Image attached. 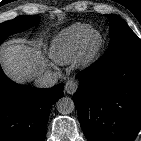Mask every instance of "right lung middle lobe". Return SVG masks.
Here are the masks:
<instances>
[{
    "mask_svg": "<svg viewBox=\"0 0 141 141\" xmlns=\"http://www.w3.org/2000/svg\"><path fill=\"white\" fill-rule=\"evenodd\" d=\"M40 20L39 16H19L13 20L6 21L0 24V44L10 34L26 30Z\"/></svg>",
    "mask_w": 141,
    "mask_h": 141,
    "instance_id": "1",
    "label": "right lung middle lobe"
}]
</instances>
